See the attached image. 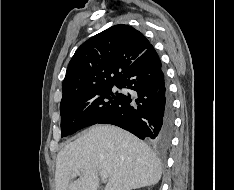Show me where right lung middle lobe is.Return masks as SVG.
<instances>
[{"label": "right lung middle lobe", "mask_w": 234, "mask_h": 190, "mask_svg": "<svg viewBox=\"0 0 234 190\" xmlns=\"http://www.w3.org/2000/svg\"><path fill=\"white\" fill-rule=\"evenodd\" d=\"M114 85L82 93L60 103L61 137L94 125L107 116L116 106L120 93H113ZM119 88L117 84H115Z\"/></svg>", "instance_id": "obj_1"}]
</instances>
